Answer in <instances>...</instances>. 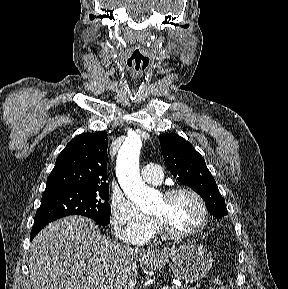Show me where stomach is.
Returning a JSON list of instances; mask_svg holds the SVG:
<instances>
[{
  "instance_id": "1",
  "label": "stomach",
  "mask_w": 288,
  "mask_h": 289,
  "mask_svg": "<svg viewBox=\"0 0 288 289\" xmlns=\"http://www.w3.org/2000/svg\"><path fill=\"white\" fill-rule=\"evenodd\" d=\"M213 258L204 245L191 244L178 247L177 254L171 259L174 277L185 283L202 279L209 272Z\"/></svg>"
}]
</instances>
